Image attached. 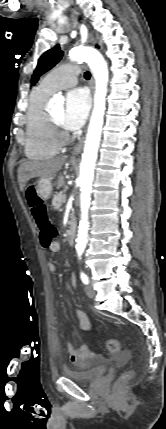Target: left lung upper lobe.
<instances>
[{
	"mask_svg": "<svg viewBox=\"0 0 166 429\" xmlns=\"http://www.w3.org/2000/svg\"><path fill=\"white\" fill-rule=\"evenodd\" d=\"M63 53L60 46L56 45L42 54L32 75L31 86L35 85L41 75L52 69L61 60Z\"/></svg>",
	"mask_w": 166,
	"mask_h": 429,
	"instance_id": "1",
	"label": "left lung upper lobe"
}]
</instances>
